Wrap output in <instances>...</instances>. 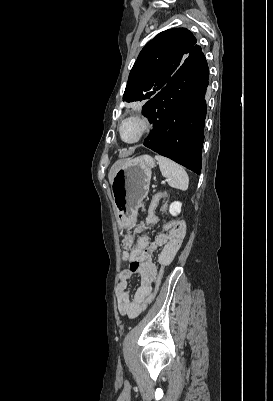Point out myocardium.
Masks as SVG:
<instances>
[{"instance_id":"myocardium-1","label":"myocardium","mask_w":273,"mask_h":401,"mask_svg":"<svg viewBox=\"0 0 273 401\" xmlns=\"http://www.w3.org/2000/svg\"><path fill=\"white\" fill-rule=\"evenodd\" d=\"M127 121H135L140 126V133L138 137L133 141H125L121 135L122 126ZM153 128H154V122L148 115L141 113L129 114L128 116L121 119L120 122L118 123L117 126L118 138L125 145H135L143 141L152 132Z\"/></svg>"}]
</instances>
